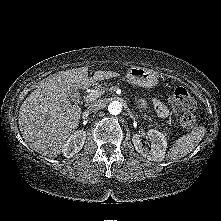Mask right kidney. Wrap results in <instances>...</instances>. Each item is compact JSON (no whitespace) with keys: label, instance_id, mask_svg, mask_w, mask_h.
<instances>
[{"label":"right kidney","instance_id":"obj_1","mask_svg":"<svg viewBox=\"0 0 221 221\" xmlns=\"http://www.w3.org/2000/svg\"><path fill=\"white\" fill-rule=\"evenodd\" d=\"M86 140V132L83 130H77L74 132L64 143L62 152L63 155L67 158L73 157L76 153H78Z\"/></svg>","mask_w":221,"mask_h":221}]
</instances>
